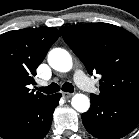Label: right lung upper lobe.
Wrapping results in <instances>:
<instances>
[{
    "label": "right lung upper lobe",
    "mask_w": 139,
    "mask_h": 139,
    "mask_svg": "<svg viewBox=\"0 0 139 139\" xmlns=\"http://www.w3.org/2000/svg\"><path fill=\"white\" fill-rule=\"evenodd\" d=\"M60 36L56 28H26L0 35V119L37 105L48 96L27 87Z\"/></svg>",
    "instance_id": "obj_1"
}]
</instances>
